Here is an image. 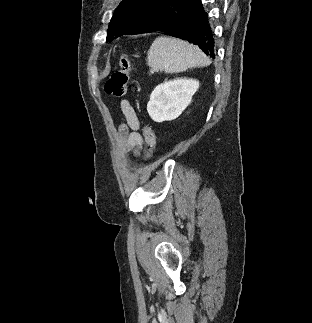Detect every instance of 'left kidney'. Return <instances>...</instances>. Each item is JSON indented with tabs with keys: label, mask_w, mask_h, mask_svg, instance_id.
Here are the masks:
<instances>
[{
	"label": "left kidney",
	"mask_w": 312,
	"mask_h": 323,
	"mask_svg": "<svg viewBox=\"0 0 312 323\" xmlns=\"http://www.w3.org/2000/svg\"><path fill=\"white\" fill-rule=\"evenodd\" d=\"M197 80H171L154 88L147 110L154 122L176 120L189 106L192 96L197 92Z\"/></svg>",
	"instance_id": "left-kidney-1"
}]
</instances>
